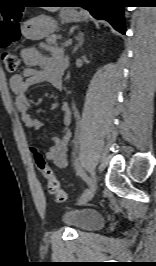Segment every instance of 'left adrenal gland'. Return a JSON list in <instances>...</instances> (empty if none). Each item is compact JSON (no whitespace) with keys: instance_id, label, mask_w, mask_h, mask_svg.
<instances>
[{"instance_id":"obj_1","label":"left adrenal gland","mask_w":156,"mask_h":266,"mask_svg":"<svg viewBox=\"0 0 156 266\" xmlns=\"http://www.w3.org/2000/svg\"><path fill=\"white\" fill-rule=\"evenodd\" d=\"M77 41H78V43L76 44V46L74 47V50H73L74 53L77 51V49L79 47L82 46V44L84 42L83 33H79V35L77 36Z\"/></svg>"}]
</instances>
